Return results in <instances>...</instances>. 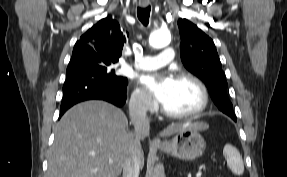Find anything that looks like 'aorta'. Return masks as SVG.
Returning <instances> with one entry per match:
<instances>
[{"instance_id": "aorta-1", "label": "aorta", "mask_w": 287, "mask_h": 177, "mask_svg": "<svg viewBox=\"0 0 287 177\" xmlns=\"http://www.w3.org/2000/svg\"><path fill=\"white\" fill-rule=\"evenodd\" d=\"M171 42V34L167 30H157L150 34L149 45L153 48H163Z\"/></svg>"}]
</instances>
